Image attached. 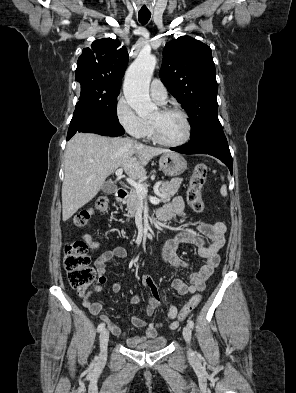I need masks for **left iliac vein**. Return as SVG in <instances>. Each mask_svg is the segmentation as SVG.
Masks as SVG:
<instances>
[{
    "label": "left iliac vein",
    "instance_id": "1",
    "mask_svg": "<svg viewBox=\"0 0 296 393\" xmlns=\"http://www.w3.org/2000/svg\"><path fill=\"white\" fill-rule=\"evenodd\" d=\"M183 337L189 345L191 341V328L188 325L183 328ZM188 351H191L190 347L188 348Z\"/></svg>",
    "mask_w": 296,
    "mask_h": 393
}]
</instances>
